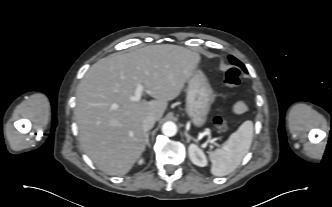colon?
<instances>
[{"instance_id": "1", "label": "colon", "mask_w": 332, "mask_h": 207, "mask_svg": "<svg viewBox=\"0 0 332 207\" xmlns=\"http://www.w3.org/2000/svg\"><path fill=\"white\" fill-rule=\"evenodd\" d=\"M224 83L228 87L237 86L240 83L239 71L236 68L229 69L224 75ZM213 122L220 131H226L229 127V122L222 117L214 118Z\"/></svg>"}]
</instances>
